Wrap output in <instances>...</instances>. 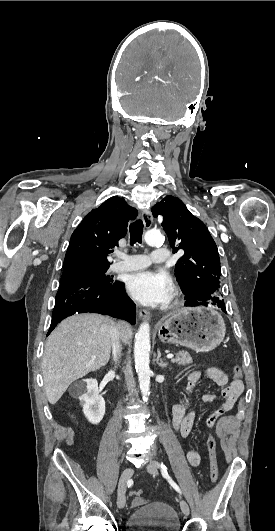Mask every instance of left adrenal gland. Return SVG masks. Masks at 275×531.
Here are the masks:
<instances>
[{
    "label": "left adrenal gland",
    "instance_id": "left-adrenal-gland-1",
    "mask_svg": "<svg viewBox=\"0 0 275 531\" xmlns=\"http://www.w3.org/2000/svg\"><path fill=\"white\" fill-rule=\"evenodd\" d=\"M157 353H158V355H157L156 363H157V365H159V367H162V369H165V367H167L168 363H164V361H166V359H164V361H162V359H160L161 353H160L159 349H158ZM159 361H160V363H159Z\"/></svg>",
    "mask_w": 275,
    "mask_h": 531
}]
</instances>
